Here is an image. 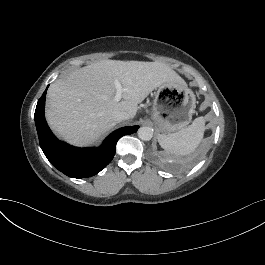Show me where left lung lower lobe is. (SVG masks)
<instances>
[{
	"label": "left lung lower lobe",
	"mask_w": 265,
	"mask_h": 265,
	"mask_svg": "<svg viewBox=\"0 0 265 265\" xmlns=\"http://www.w3.org/2000/svg\"><path fill=\"white\" fill-rule=\"evenodd\" d=\"M200 157V154H193L192 156H189V158H185L183 160H177V161H160L161 165L170 171H180L192 164H194Z\"/></svg>",
	"instance_id": "0a47b994"
}]
</instances>
